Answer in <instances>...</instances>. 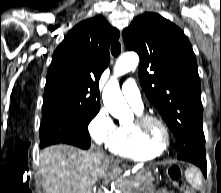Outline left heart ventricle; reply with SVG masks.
Listing matches in <instances>:
<instances>
[{"label": "left heart ventricle", "instance_id": "1", "mask_svg": "<svg viewBox=\"0 0 221 193\" xmlns=\"http://www.w3.org/2000/svg\"><path fill=\"white\" fill-rule=\"evenodd\" d=\"M152 130H153L154 135L158 138V140L164 141V133L157 124L153 125Z\"/></svg>", "mask_w": 221, "mask_h": 193}]
</instances>
